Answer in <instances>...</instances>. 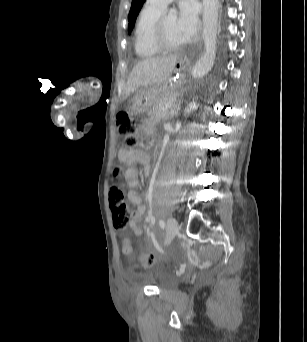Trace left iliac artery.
I'll list each match as a JSON object with an SVG mask.
<instances>
[{
    "label": "left iliac artery",
    "instance_id": "obj_1",
    "mask_svg": "<svg viewBox=\"0 0 307 342\" xmlns=\"http://www.w3.org/2000/svg\"><path fill=\"white\" fill-rule=\"evenodd\" d=\"M151 197H152V194H151ZM150 216H151V218H153L152 212H151ZM159 225H160V227H161L162 229L165 228V222H164L163 220H160V221H159Z\"/></svg>",
    "mask_w": 307,
    "mask_h": 342
}]
</instances>
